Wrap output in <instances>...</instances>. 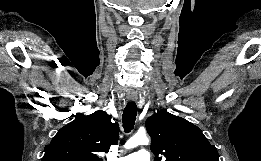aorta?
Here are the masks:
<instances>
[{
    "mask_svg": "<svg viewBox=\"0 0 261 161\" xmlns=\"http://www.w3.org/2000/svg\"><path fill=\"white\" fill-rule=\"evenodd\" d=\"M148 143L149 139L145 134H136L126 142L125 148L131 149L138 145H147Z\"/></svg>",
    "mask_w": 261,
    "mask_h": 161,
    "instance_id": "aorta-1",
    "label": "aorta"
}]
</instances>
